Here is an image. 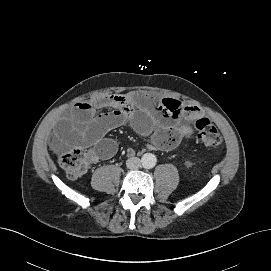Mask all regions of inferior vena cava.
Segmentation results:
<instances>
[{
    "label": "inferior vena cava",
    "mask_w": 271,
    "mask_h": 271,
    "mask_svg": "<svg viewBox=\"0 0 271 271\" xmlns=\"http://www.w3.org/2000/svg\"><path fill=\"white\" fill-rule=\"evenodd\" d=\"M126 166L131 170L138 169L141 167V160L138 157H131L127 159Z\"/></svg>",
    "instance_id": "inferior-vena-cava-1"
}]
</instances>
